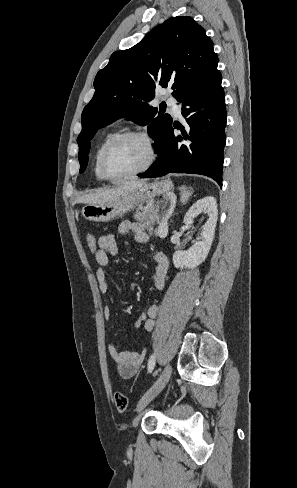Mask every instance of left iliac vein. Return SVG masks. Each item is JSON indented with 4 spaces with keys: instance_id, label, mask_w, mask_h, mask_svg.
Returning <instances> with one entry per match:
<instances>
[{
    "instance_id": "left-iliac-vein-1",
    "label": "left iliac vein",
    "mask_w": 297,
    "mask_h": 488,
    "mask_svg": "<svg viewBox=\"0 0 297 488\" xmlns=\"http://www.w3.org/2000/svg\"><path fill=\"white\" fill-rule=\"evenodd\" d=\"M172 374V368L167 365L158 379L153 383V385L145 392L140 401L137 404V412L142 411L167 385Z\"/></svg>"
}]
</instances>
